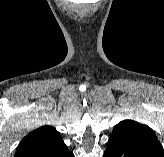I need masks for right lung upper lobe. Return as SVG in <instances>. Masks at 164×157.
I'll return each instance as SVG.
<instances>
[{
    "label": "right lung upper lobe",
    "instance_id": "cb5924a9",
    "mask_svg": "<svg viewBox=\"0 0 164 157\" xmlns=\"http://www.w3.org/2000/svg\"><path fill=\"white\" fill-rule=\"evenodd\" d=\"M62 140L52 126H42L25 136L17 147L14 157H34Z\"/></svg>",
    "mask_w": 164,
    "mask_h": 157
}]
</instances>
